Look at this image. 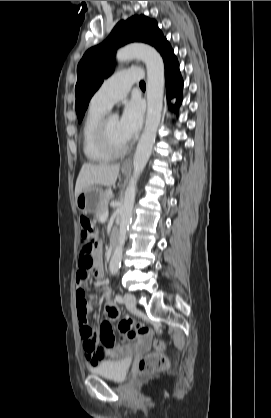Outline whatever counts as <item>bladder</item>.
I'll return each instance as SVG.
<instances>
[{
  "instance_id": "bladder-1",
  "label": "bladder",
  "mask_w": 271,
  "mask_h": 418,
  "mask_svg": "<svg viewBox=\"0 0 271 418\" xmlns=\"http://www.w3.org/2000/svg\"><path fill=\"white\" fill-rule=\"evenodd\" d=\"M130 362L129 354H124L119 358L107 360L92 367L90 372L110 381L121 382L128 373Z\"/></svg>"
}]
</instances>
